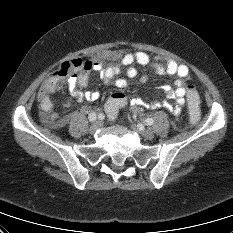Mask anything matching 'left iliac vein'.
Here are the masks:
<instances>
[{
    "instance_id": "obj_1",
    "label": "left iliac vein",
    "mask_w": 233,
    "mask_h": 233,
    "mask_svg": "<svg viewBox=\"0 0 233 233\" xmlns=\"http://www.w3.org/2000/svg\"><path fill=\"white\" fill-rule=\"evenodd\" d=\"M132 129L137 130L145 139L152 140L154 138V134L151 130H147L143 125H132Z\"/></svg>"
}]
</instances>
